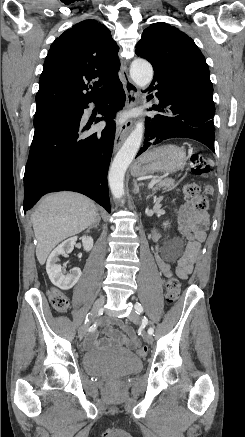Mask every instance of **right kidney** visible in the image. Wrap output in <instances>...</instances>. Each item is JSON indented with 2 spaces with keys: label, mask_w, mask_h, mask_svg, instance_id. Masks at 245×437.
<instances>
[{
  "label": "right kidney",
  "mask_w": 245,
  "mask_h": 437,
  "mask_svg": "<svg viewBox=\"0 0 245 437\" xmlns=\"http://www.w3.org/2000/svg\"><path fill=\"white\" fill-rule=\"evenodd\" d=\"M78 237H71L60 245H58L49 255L46 263V271L49 276L51 282L60 288L61 290H69L71 289L81 277V270L78 267H75L71 270V272L67 275H63L62 267L57 264L59 260V256L70 253L74 249V245L76 244ZM82 240V244L85 251H90L93 247V239L91 236H82L80 237Z\"/></svg>",
  "instance_id": "ca27d5eb"
}]
</instances>
